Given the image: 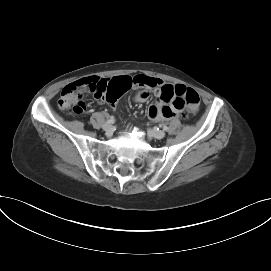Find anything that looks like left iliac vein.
<instances>
[{
  "label": "left iliac vein",
  "mask_w": 271,
  "mask_h": 271,
  "mask_svg": "<svg viewBox=\"0 0 271 271\" xmlns=\"http://www.w3.org/2000/svg\"><path fill=\"white\" fill-rule=\"evenodd\" d=\"M149 132L156 139H162L165 137V132L162 130L151 129Z\"/></svg>",
  "instance_id": "4c4485c4"
}]
</instances>
